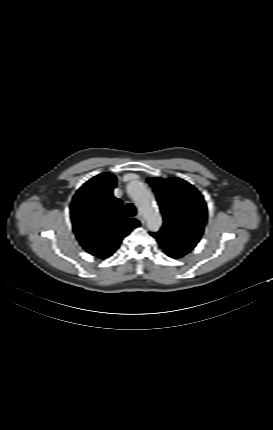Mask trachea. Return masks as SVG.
Instances as JSON below:
<instances>
[{
    "label": "trachea",
    "instance_id": "3493384b",
    "mask_svg": "<svg viewBox=\"0 0 273 430\" xmlns=\"http://www.w3.org/2000/svg\"><path fill=\"white\" fill-rule=\"evenodd\" d=\"M125 215L127 217H133L136 215V208L133 204L129 203L125 207Z\"/></svg>",
    "mask_w": 273,
    "mask_h": 430
}]
</instances>
